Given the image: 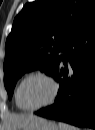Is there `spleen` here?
Wrapping results in <instances>:
<instances>
[{"mask_svg": "<svg viewBox=\"0 0 95 130\" xmlns=\"http://www.w3.org/2000/svg\"><path fill=\"white\" fill-rule=\"evenodd\" d=\"M58 128L59 130H78L75 126H72L63 122L58 123Z\"/></svg>", "mask_w": 95, "mask_h": 130, "instance_id": "obj_1", "label": "spleen"}]
</instances>
